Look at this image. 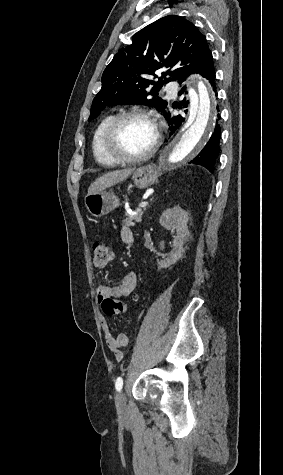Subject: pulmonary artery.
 <instances>
[{
	"mask_svg": "<svg viewBox=\"0 0 283 475\" xmlns=\"http://www.w3.org/2000/svg\"><path fill=\"white\" fill-rule=\"evenodd\" d=\"M165 93L167 96H176L178 93L177 87L175 84H170L165 86Z\"/></svg>",
	"mask_w": 283,
	"mask_h": 475,
	"instance_id": "e3ab8cb5",
	"label": "pulmonary artery"
}]
</instances>
